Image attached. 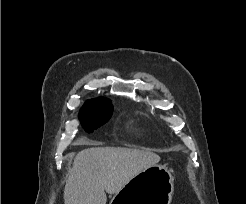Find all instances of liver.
<instances>
[{"mask_svg":"<svg viewBox=\"0 0 246 204\" xmlns=\"http://www.w3.org/2000/svg\"><path fill=\"white\" fill-rule=\"evenodd\" d=\"M160 161L148 150L91 147L80 151L64 188V204H106L134 176Z\"/></svg>","mask_w":246,"mask_h":204,"instance_id":"6515ba94","label":"liver"}]
</instances>
